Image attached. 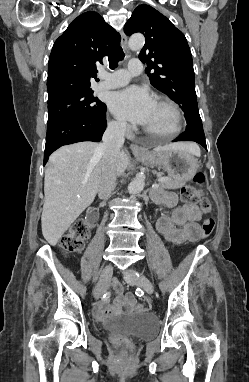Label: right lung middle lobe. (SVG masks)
<instances>
[{"label": "right lung middle lobe", "instance_id": "right-lung-middle-lobe-1", "mask_svg": "<svg viewBox=\"0 0 249 382\" xmlns=\"http://www.w3.org/2000/svg\"><path fill=\"white\" fill-rule=\"evenodd\" d=\"M105 107L103 102L93 96L92 89L68 95L48 103V126L72 118H94Z\"/></svg>", "mask_w": 249, "mask_h": 382}]
</instances>
